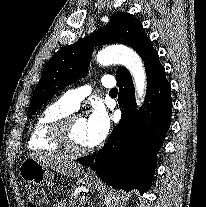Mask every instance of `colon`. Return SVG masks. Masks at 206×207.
<instances>
[{
	"instance_id": "1",
	"label": "colon",
	"mask_w": 206,
	"mask_h": 207,
	"mask_svg": "<svg viewBox=\"0 0 206 207\" xmlns=\"http://www.w3.org/2000/svg\"><path fill=\"white\" fill-rule=\"evenodd\" d=\"M26 199L29 207H43L45 201L43 194L35 189L27 192Z\"/></svg>"
}]
</instances>
